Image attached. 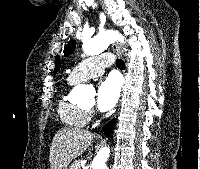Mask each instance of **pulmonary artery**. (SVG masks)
Instances as JSON below:
<instances>
[{"label":"pulmonary artery","instance_id":"pulmonary-artery-1","mask_svg":"<svg viewBox=\"0 0 200 169\" xmlns=\"http://www.w3.org/2000/svg\"><path fill=\"white\" fill-rule=\"evenodd\" d=\"M112 64L107 55H98L87 58L78 63L70 72L68 79L73 82H81L100 76L107 66Z\"/></svg>","mask_w":200,"mask_h":169}]
</instances>
